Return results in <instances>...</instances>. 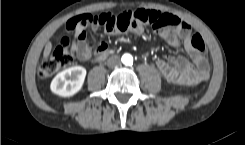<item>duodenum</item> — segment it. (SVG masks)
Returning a JSON list of instances; mask_svg holds the SVG:
<instances>
[{"label": "duodenum", "mask_w": 245, "mask_h": 145, "mask_svg": "<svg viewBox=\"0 0 245 145\" xmlns=\"http://www.w3.org/2000/svg\"><path fill=\"white\" fill-rule=\"evenodd\" d=\"M112 53H113V51L111 49H106L104 52L98 54L96 56V59L97 60H103V59L109 57Z\"/></svg>", "instance_id": "obj_1"}]
</instances>
